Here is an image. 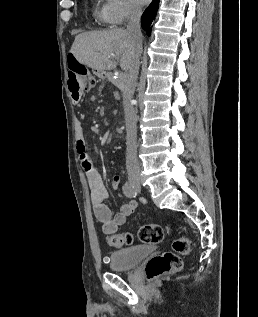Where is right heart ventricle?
<instances>
[{"label": "right heart ventricle", "instance_id": "obj_1", "mask_svg": "<svg viewBox=\"0 0 258 317\" xmlns=\"http://www.w3.org/2000/svg\"><path fill=\"white\" fill-rule=\"evenodd\" d=\"M106 3H103L101 5H98L94 17L96 22H98L99 24L101 23H107V12H106Z\"/></svg>", "mask_w": 258, "mask_h": 317}]
</instances>
